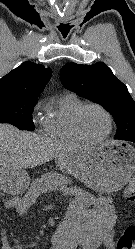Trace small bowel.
Segmentation results:
<instances>
[{
    "instance_id": "obj_1",
    "label": "small bowel",
    "mask_w": 135,
    "mask_h": 249,
    "mask_svg": "<svg viewBox=\"0 0 135 249\" xmlns=\"http://www.w3.org/2000/svg\"><path fill=\"white\" fill-rule=\"evenodd\" d=\"M3 203L6 209H15L19 217L24 216L27 211L25 202L18 197H9ZM95 205L97 210L80 208L87 223L86 234L92 244L91 249L100 244L113 249V230L117 221V213L112 199L109 196H100L95 200ZM1 249H12L4 231Z\"/></svg>"
}]
</instances>
